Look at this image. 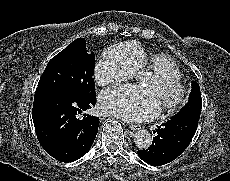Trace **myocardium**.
<instances>
[{
  "label": "myocardium",
  "instance_id": "f54148a6",
  "mask_svg": "<svg viewBox=\"0 0 230 181\" xmlns=\"http://www.w3.org/2000/svg\"><path fill=\"white\" fill-rule=\"evenodd\" d=\"M162 78L166 80H170L174 84L176 88V94L173 97V99L161 103L157 105L155 108L158 111L162 109H166V110L175 109L176 107H178L180 104L183 103L186 95L185 88L180 80V73L178 72V69L167 67V66H162L159 67L158 69H155L154 71L146 75V77L144 78L146 89L149 88L154 82Z\"/></svg>",
  "mask_w": 230,
  "mask_h": 181
}]
</instances>
